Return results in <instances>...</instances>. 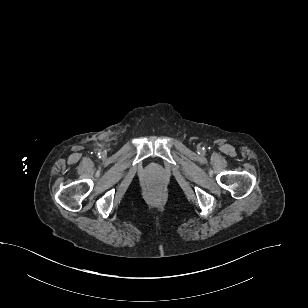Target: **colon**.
Returning <instances> with one entry per match:
<instances>
[{"label":"colon","instance_id":"1","mask_svg":"<svg viewBox=\"0 0 308 308\" xmlns=\"http://www.w3.org/2000/svg\"><path fill=\"white\" fill-rule=\"evenodd\" d=\"M162 183L161 182H156V183H153V184H151V189H153V190H159V189H161L162 188Z\"/></svg>","mask_w":308,"mask_h":308}]
</instances>
